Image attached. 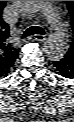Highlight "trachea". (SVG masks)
<instances>
[{
  "label": "trachea",
  "mask_w": 74,
  "mask_h": 122,
  "mask_svg": "<svg viewBox=\"0 0 74 122\" xmlns=\"http://www.w3.org/2000/svg\"><path fill=\"white\" fill-rule=\"evenodd\" d=\"M32 35H45V31L39 26H31L24 31L22 38L24 39Z\"/></svg>",
  "instance_id": "trachea-1"
}]
</instances>
